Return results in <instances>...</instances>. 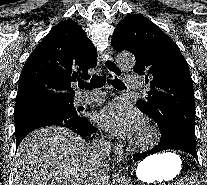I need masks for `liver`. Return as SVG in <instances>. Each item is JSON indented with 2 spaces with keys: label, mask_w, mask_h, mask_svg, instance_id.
Wrapping results in <instances>:
<instances>
[{
  "label": "liver",
  "mask_w": 207,
  "mask_h": 185,
  "mask_svg": "<svg viewBox=\"0 0 207 185\" xmlns=\"http://www.w3.org/2000/svg\"><path fill=\"white\" fill-rule=\"evenodd\" d=\"M96 151L66 127H41L21 141L13 185H95Z\"/></svg>",
  "instance_id": "liver-1"
}]
</instances>
